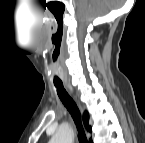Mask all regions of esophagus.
Segmentation results:
<instances>
[{
  "mask_svg": "<svg viewBox=\"0 0 145 143\" xmlns=\"http://www.w3.org/2000/svg\"><path fill=\"white\" fill-rule=\"evenodd\" d=\"M79 108H80V110H81V112L83 111V108L81 107V105L79 104Z\"/></svg>",
  "mask_w": 145,
  "mask_h": 143,
  "instance_id": "obj_1",
  "label": "esophagus"
}]
</instances>
